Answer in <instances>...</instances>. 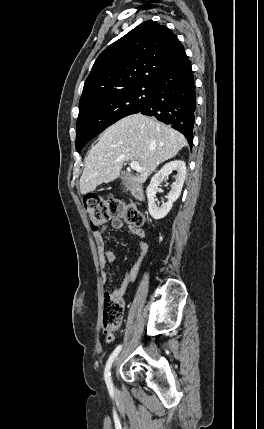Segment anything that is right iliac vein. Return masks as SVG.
I'll return each instance as SVG.
<instances>
[{
    "instance_id": "63e3f726",
    "label": "right iliac vein",
    "mask_w": 264,
    "mask_h": 429,
    "mask_svg": "<svg viewBox=\"0 0 264 429\" xmlns=\"http://www.w3.org/2000/svg\"><path fill=\"white\" fill-rule=\"evenodd\" d=\"M118 360H119V358L117 357L115 360L114 366L117 364Z\"/></svg>"
}]
</instances>
